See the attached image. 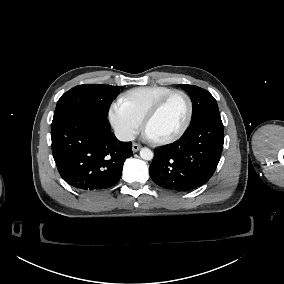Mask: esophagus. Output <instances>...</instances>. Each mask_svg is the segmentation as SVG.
I'll use <instances>...</instances> for the list:
<instances>
[{
  "mask_svg": "<svg viewBox=\"0 0 284 284\" xmlns=\"http://www.w3.org/2000/svg\"><path fill=\"white\" fill-rule=\"evenodd\" d=\"M141 148V145L138 143H133L132 145V150L134 153H136L137 151H139V149Z\"/></svg>",
  "mask_w": 284,
  "mask_h": 284,
  "instance_id": "1",
  "label": "esophagus"
}]
</instances>
